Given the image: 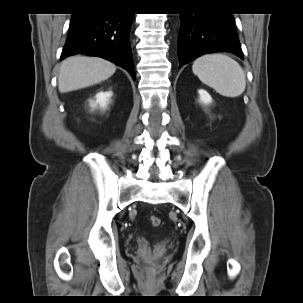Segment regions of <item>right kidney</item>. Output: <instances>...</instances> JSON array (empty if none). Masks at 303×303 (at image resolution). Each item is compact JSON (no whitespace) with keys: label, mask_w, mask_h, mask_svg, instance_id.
<instances>
[{"label":"right kidney","mask_w":303,"mask_h":303,"mask_svg":"<svg viewBox=\"0 0 303 303\" xmlns=\"http://www.w3.org/2000/svg\"><path fill=\"white\" fill-rule=\"evenodd\" d=\"M112 91H100L95 95V100L89 101V106L92 109L99 108L100 109H106L107 105L109 104L110 98L112 96Z\"/></svg>","instance_id":"obj_1"}]
</instances>
